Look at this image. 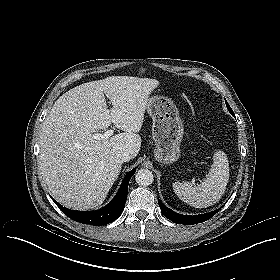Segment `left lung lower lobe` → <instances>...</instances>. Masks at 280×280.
Listing matches in <instances>:
<instances>
[{"label": "left lung lower lobe", "mask_w": 280, "mask_h": 280, "mask_svg": "<svg viewBox=\"0 0 280 280\" xmlns=\"http://www.w3.org/2000/svg\"><path fill=\"white\" fill-rule=\"evenodd\" d=\"M158 203L161 209L162 214H164L169 220H171L174 223L177 224H184V225H193L196 223H201L206 220H209L211 217H213L218 211L215 210L213 212L207 213V214H201L196 216L191 215H181L179 213H176L172 211L171 209L167 208L159 199Z\"/></svg>", "instance_id": "1"}]
</instances>
